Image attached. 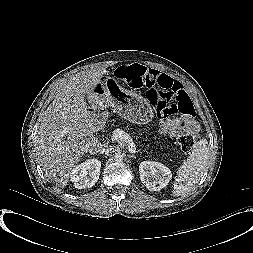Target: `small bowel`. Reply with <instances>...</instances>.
I'll use <instances>...</instances> for the list:
<instances>
[{
    "mask_svg": "<svg viewBox=\"0 0 253 253\" xmlns=\"http://www.w3.org/2000/svg\"><path fill=\"white\" fill-rule=\"evenodd\" d=\"M147 79H148V85H155L157 82L167 85L170 87L174 86H180L182 85L169 75L159 72L154 69H147ZM197 129V124L187 119L184 116H177L172 119H169L167 121L162 122V131L164 133L169 134L170 136H179L183 133L195 131Z\"/></svg>",
    "mask_w": 253,
    "mask_h": 253,
    "instance_id": "small-bowel-1",
    "label": "small bowel"
}]
</instances>
